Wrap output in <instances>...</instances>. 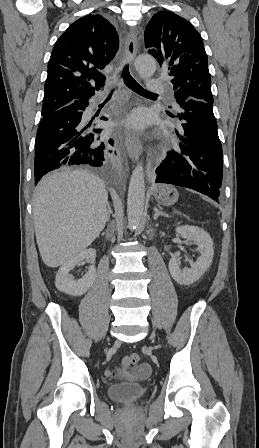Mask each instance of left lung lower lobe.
<instances>
[{
	"label": "left lung lower lobe",
	"mask_w": 259,
	"mask_h": 448,
	"mask_svg": "<svg viewBox=\"0 0 259 448\" xmlns=\"http://www.w3.org/2000/svg\"><path fill=\"white\" fill-rule=\"evenodd\" d=\"M178 145L156 169V183L194 189L214 200L220 196L223 152L213 104L189 99L178 105Z\"/></svg>",
	"instance_id": "1"
}]
</instances>
